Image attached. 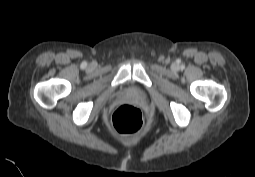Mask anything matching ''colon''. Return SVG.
<instances>
[{
  "mask_svg": "<svg viewBox=\"0 0 255 177\" xmlns=\"http://www.w3.org/2000/svg\"><path fill=\"white\" fill-rule=\"evenodd\" d=\"M111 124L113 129L120 134H134L143 125L142 113L134 105L123 104L114 111Z\"/></svg>",
  "mask_w": 255,
  "mask_h": 177,
  "instance_id": "obj_1",
  "label": "colon"
}]
</instances>
